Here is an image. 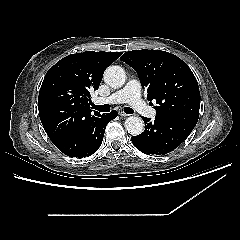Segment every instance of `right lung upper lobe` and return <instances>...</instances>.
<instances>
[{
  "label": "right lung upper lobe",
  "mask_w": 240,
  "mask_h": 240,
  "mask_svg": "<svg viewBox=\"0 0 240 240\" xmlns=\"http://www.w3.org/2000/svg\"><path fill=\"white\" fill-rule=\"evenodd\" d=\"M121 52L71 54L49 69L38 96L39 116L54 143L85 128L100 115L90 107V92L98 89L105 69Z\"/></svg>",
  "instance_id": "cb5924a9"
}]
</instances>
